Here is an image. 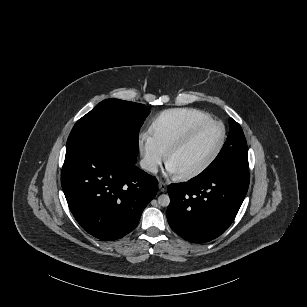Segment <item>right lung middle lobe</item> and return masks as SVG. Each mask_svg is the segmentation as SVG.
<instances>
[{
    "label": "right lung middle lobe",
    "instance_id": "right-lung-middle-lobe-1",
    "mask_svg": "<svg viewBox=\"0 0 307 307\" xmlns=\"http://www.w3.org/2000/svg\"><path fill=\"white\" fill-rule=\"evenodd\" d=\"M149 113L140 103L104 100L76 122L68 137L66 152L91 142H106L136 159L139 131Z\"/></svg>",
    "mask_w": 307,
    "mask_h": 307
}]
</instances>
